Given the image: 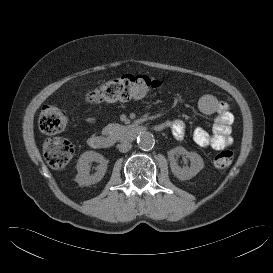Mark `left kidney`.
<instances>
[{
	"instance_id": "left-kidney-1",
	"label": "left kidney",
	"mask_w": 273,
	"mask_h": 273,
	"mask_svg": "<svg viewBox=\"0 0 273 273\" xmlns=\"http://www.w3.org/2000/svg\"><path fill=\"white\" fill-rule=\"evenodd\" d=\"M178 155H185L191 161V166L187 168H181L175 159V157ZM169 159L171 171L180 180H190L196 176L204 167V161L198 153L187 151L184 147L181 146H178L169 152Z\"/></svg>"
}]
</instances>
